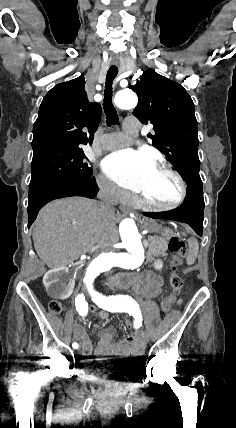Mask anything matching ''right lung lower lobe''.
I'll return each mask as SVG.
<instances>
[{"instance_id":"obj_1","label":"right lung lower lobe","mask_w":236,"mask_h":428,"mask_svg":"<svg viewBox=\"0 0 236 428\" xmlns=\"http://www.w3.org/2000/svg\"><path fill=\"white\" fill-rule=\"evenodd\" d=\"M98 192L95 178L59 179L29 187L28 228L35 221L39 210L48 202L70 196L94 198Z\"/></svg>"}]
</instances>
